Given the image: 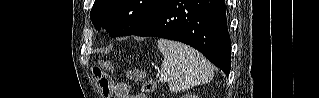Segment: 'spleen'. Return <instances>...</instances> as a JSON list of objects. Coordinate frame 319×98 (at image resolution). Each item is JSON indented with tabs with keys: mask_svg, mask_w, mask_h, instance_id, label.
<instances>
[{
	"mask_svg": "<svg viewBox=\"0 0 319 98\" xmlns=\"http://www.w3.org/2000/svg\"><path fill=\"white\" fill-rule=\"evenodd\" d=\"M157 47L163 56L161 78L169 81L172 92L185 91L211 81L213 67L197 50L164 39L158 41Z\"/></svg>",
	"mask_w": 319,
	"mask_h": 98,
	"instance_id": "1",
	"label": "spleen"
}]
</instances>
